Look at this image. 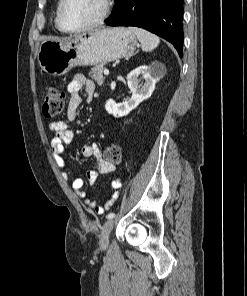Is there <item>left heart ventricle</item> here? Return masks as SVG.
<instances>
[{
  "label": "left heart ventricle",
  "mask_w": 247,
  "mask_h": 296,
  "mask_svg": "<svg viewBox=\"0 0 247 296\" xmlns=\"http://www.w3.org/2000/svg\"><path fill=\"white\" fill-rule=\"evenodd\" d=\"M101 9V0H66L61 12L62 25L67 29L82 28L94 22Z\"/></svg>",
  "instance_id": "left-heart-ventricle-1"
}]
</instances>
